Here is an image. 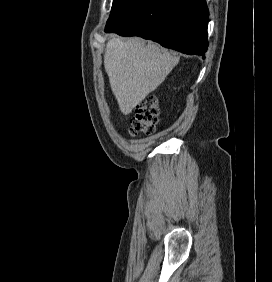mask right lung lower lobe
Here are the masks:
<instances>
[{
  "label": "right lung lower lobe",
  "instance_id": "right-lung-lower-lobe-1",
  "mask_svg": "<svg viewBox=\"0 0 272 282\" xmlns=\"http://www.w3.org/2000/svg\"><path fill=\"white\" fill-rule=\"evenodd\" d=\"M208 17L205 0H138L105 32L140 36L204 58Z\"/></svg>",
  "mask_w": 272,
  "mask_h": 282
}]
</instances>
